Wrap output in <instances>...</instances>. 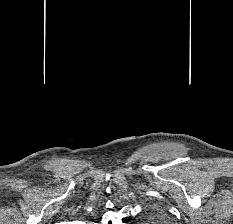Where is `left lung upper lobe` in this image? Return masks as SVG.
<instances>
[{
	"mask_svg": "<svg viewBox=\"0 0 233 224\" xmlns=\"http://www.w3.org/2000/svg\"><path fill=\"white\" fill-rule=\"evenodd\" d=\"M146 221L152 224H164L168 222V218L165 215L164 211L159 209H151Z\"/></svg>",
	"mask_w": 233,
	"mask_h": 224,
	"instance_id": "obj_1",
	"label": "left lung upper lobe"
}]
</instances>
